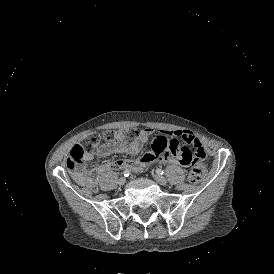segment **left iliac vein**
<instances>
[{"mask_svg": "<svg viewBox=\"0 0 274 274\" xmlns=\"http://www.w3.org/2000/svg\"><path fill=\"white\" fill-rule=\"evenodd\" d=\"M154 179L161 185H167V179L164 176L161 175H155Z\"/></svg>", "mask_w": 274, "mask_h": 274, "instance_id": "1", "label": "left iliac vein"}]
</instances>
